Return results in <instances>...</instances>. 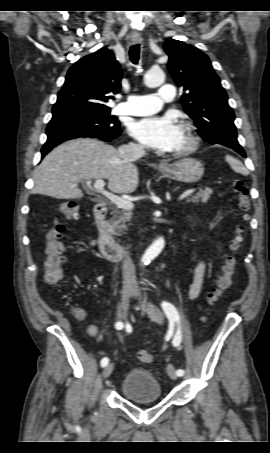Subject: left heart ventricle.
I'll use <instances>...</instances> for the list:
<instances>
[{
    "mask_svg": "<svg viewBox=\"0 0 270 453\" xmlns=\"http://www.w3.org/2000/svg\"><path fill=\"white\" fill-rule=\"evenodd\" d=\"M186 144V137H185V134H184V131L182 130V136L180 138V141L178 142L176 148L174 150H177L181 147H183L184 145Z\"/></svg>",
    "mask_w": 270,
    "mask_h": 453,
    "instance_id": "obj_1",
    "label": "left heart ventricle"
}]
</instances>
